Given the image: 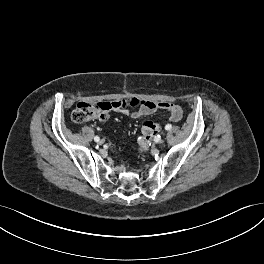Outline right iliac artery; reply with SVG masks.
I'll list each match as a JSON object with an SVG mask.
<instances>
[{
  "instance_id": "1",
  "label": "right iliac artery",
  "mask_w": 264,
  "mask_h": 264,
  "mask_svg": "<svg viewBox=\"0 0 264 264\" xmlns=\"http://www.w3.org/2000/svg\"><path fill=\"white\" fill-rule=\"evenodd\" d=\"M94 140H95L96 142H98V141L100 140V138H99L98 136H95V137H94Z\"/></svg>"
}]
</instances>
